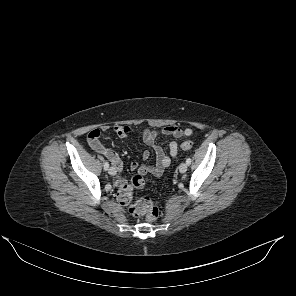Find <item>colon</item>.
I'll list each match as a JSON object with an SVG mask.
<instances>
[{
  "instance_id": "1",
  "label": "colon",
  "mask_w": 296,
  "mask_h": 296,
  "mask_svg": "<svg viewBox=\"0 0 296 296\" xmlns=\"http://www.w3.org/2000/svg\"><path fill=\"white\" fill-rule=\"evenodd\" d=\"M192 141H184L181 143L180 148L188 151L193 148ZM148 175L138 173L135 175L131 183L123 185L118 192V200L122 205L128 207V211L135 217H144L148 221H155L159 215L158 208L154 205L149 197H142L139 200L132 202L133 188H142L148 180Z\"/></svg>"
}]
</instances>
